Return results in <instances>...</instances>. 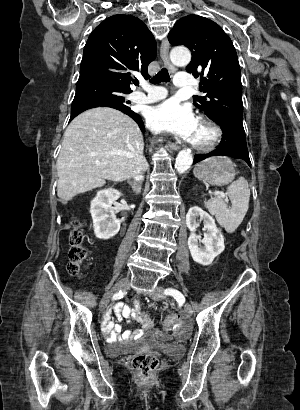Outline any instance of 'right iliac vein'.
Wrapping results in <instances>:
<instances>
[{
    "mask_svg": "<svg viewBox=\"0 0 300 410\" xmlns=\"http://www.w3.org/2000/svg\"><path fill=\"white\" fill-rule=\"evenodd\" d=\"M128 288H129V279L125 278V279L120 280L110 292L104 295V297L102 298L100 302L99 309L101 311L106 309V307L109 304L112 294H114L115 292H119V291H125Z\"/></svg>",
    "mask_w": 300,
    "mask_h": 410,
    "instance_id": "obj_1",
    "label": "right iliac vein"
}]
</instances>
